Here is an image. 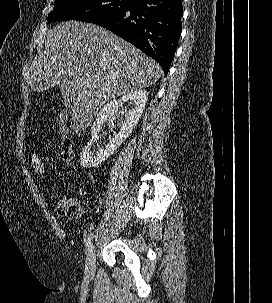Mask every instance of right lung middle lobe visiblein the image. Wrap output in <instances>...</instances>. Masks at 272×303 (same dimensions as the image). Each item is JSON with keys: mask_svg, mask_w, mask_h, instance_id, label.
I'll list each match as a JSON object with an SVG mask.
<instances>
[{"mask_svg": "<svg viewBox=\"0 0 272 303\" xmlns=\"http://www.w3.org/2000/svg\"><path fill=\"white\" fill-rule=\"evenodd\" d=\"M133 0H56L48 16L52 21L94 22L127 10Z\"/></svg>", "mask_w": 272, "mask_h": 303, "instance_id": "dd1d6c3e", "label": "right lung middle lobe"}]
</instances>
